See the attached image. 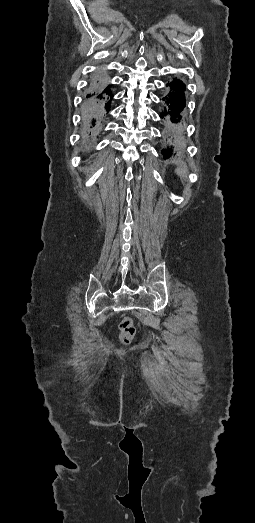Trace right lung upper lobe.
<instances>
[{
	"label": "right lung upper lobe",
	"instance_id": "right-lung-upper-lobe-1",
	"mask_svg": "<svg viewBox=\"0 0 255 523\" xmlns=\"http://www.w3.org/2000/svg\"><path fill=\"white\" fill-rule=\"evenodd\" d=\"M111 84L100 74L91 83V93L87 94L84 104L85 120L90 127L88 138L100 129L108 112L112 108L113 92Z\"/></svg>",
	"mask_w": 255,
	"mask_h": 523
}]
</instances>
